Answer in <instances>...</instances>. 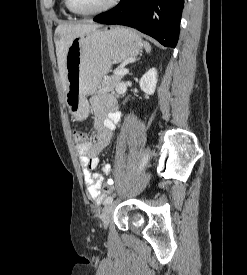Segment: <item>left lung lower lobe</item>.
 Instances as JSON below:
<instances>
[{
	"instance_id": "left-lung-lower-lobe-1",
	"label": "left lung lower lobe",
	"mask_w": 247,
	"mask_h": 275,
	"mask_svg": "<svg viewBox=\"0 0 247 275\" xmlns=\"http://www.w3.org/2000/svg\"><path fill=\"white\" fill-rule=\"evenodd\" d=\"M184 0H121L113 9L96 16L95 22L135 28L175 48Z\"/></svg>"
}]
</instances>
